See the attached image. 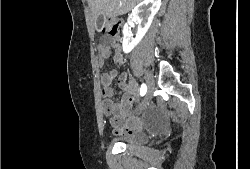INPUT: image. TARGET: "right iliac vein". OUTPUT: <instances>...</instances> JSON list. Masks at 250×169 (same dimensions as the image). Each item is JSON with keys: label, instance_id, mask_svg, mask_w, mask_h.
Segmentation results:
<instances>
[{"label": "right iliac vein", "instance_id": "1", "mask_svg": "<svg viewBox=\"0 0 250 169\" xmlns=\"http://www.w3.org/2000/svg\"><path fill=\"white\" fill-rule=\"evenodd\" d=\"M145 80L148 88L147 97L150 98L154 90V84H155L151 73L149 72L145 73Z\"/></svg>", "mask_w": 250, "mask_h": 169}]
</instances>
